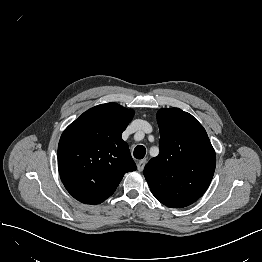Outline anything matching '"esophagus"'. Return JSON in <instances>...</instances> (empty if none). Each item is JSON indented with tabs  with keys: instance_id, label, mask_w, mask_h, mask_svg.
<instances>
[{
	"instance_id": "34e87169",
	"label": "esophagus",
	"mask_w": 262,
	"mask_h": 262,
	"mask_svg": "<svg viewBox=\"0 0 262 262\" xmlns=\"http://www.w3.org/2000/svg\"><path fill=\"white\" fill-rule=\"evenodd\" d=\"M145 164H146L145 160L138 161V163H137V170L139 172L143 171Z\"/></svg>"
}]
</instances>
